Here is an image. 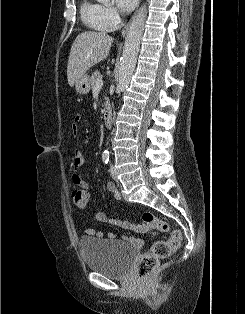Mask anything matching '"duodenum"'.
Masks as SVG:
<instances>
[{"mask_svg": "<svg viewBox=\"0 0 245 314\" xmlns=\"http://www.w3.org/2000/svg\"><path fill=\"white\" fill-rule=\"evenodd\" d=\"M104 115L103 122L105 127L110 128L112 126L113 109L110 101L108 99L104 100Z\"/></svg>", "mask_w": 245, "mask_h": 314, "instance_id": "410a0bca", "label": "duodenum"}]
</instances>
